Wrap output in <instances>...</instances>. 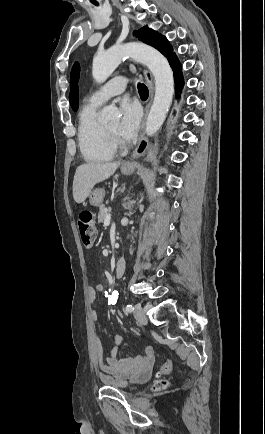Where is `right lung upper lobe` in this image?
<instances>
[{"instance_id":"obj_1","label":"right lung upper lobe","mask_w":265,"mask_h":434,"mask_svg":"<svg viewBox=\"0 0 265 434\" xmlns=\"http://www.w3.org/2000/svg\"><path fill=\"white\" fill-rule=\"evenodd\" d=\"M80 74L79 64L76 62L71 71L69 100L72 108H78V80Z\"/></svg>"}]
</instances>
